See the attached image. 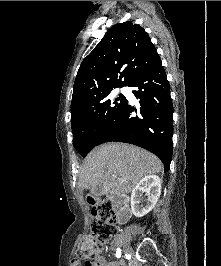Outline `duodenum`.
Masks as SVG:
<instances>
[{
  "label": "duodenum",
  "mask_w": 221,
  "mask_h": 266,
  "mask_svg": "<svg viewBox=\"0 0 221 266\" xmlns=\"http://www.w3.org/2000/svg\"><path fill=\"white\" fill-rule=\"evenodd\" d=\"M113 199L116 203L120 205V210L118 213V222L120 224L125 223L130 217V210L126 207L129 199L128 197L120 194H115ZM87 203H98L99 199L97 198V194H90V198L86 199Z\"/></svg>",
  "instance_id": "1"
}]
</instances>
